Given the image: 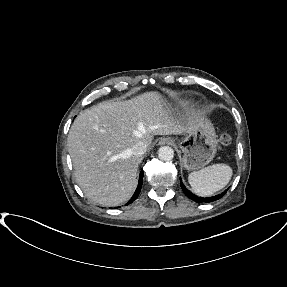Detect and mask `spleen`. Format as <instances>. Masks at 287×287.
I'll return each instance as SVG.
<instances>
[{"label":"spleen","instance_id":"3e777b00","mask_svg":"<svg viewBox=\"0 0 287 287\" xmlns=\"http://www.w3.org/2000/svg\"><path fill=\"white\" fill-rule=\"evenodd\" d=\"M232 177L227 164H214L189 174L188 181L193 192L199 196H211L223 189Z\"/></svg>","mask_w":287,"mask_h":287}]
</instances>
